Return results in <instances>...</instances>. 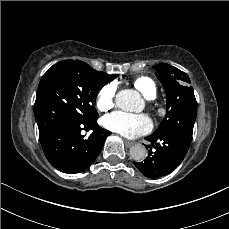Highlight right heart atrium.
Returning <instances> with one entry per match:
<instances>
[{
  "label": "right heart atrium",
  "instance_id": "d8ad5b80",
  "mask_svg": "<svg viewBox=\"0 0 229 229\" xmlns=\"http://www.w3.org/2000/svg\"><path fill=\"white\" fill-rule=\"evenodd\" d=\"M116 97V85L108 83L101 87L96 94L95 105L100 111H107L114 105Z\"/></svg>",
  "mask_w": 229,
  "mask_h": 229
}]
</instances>
